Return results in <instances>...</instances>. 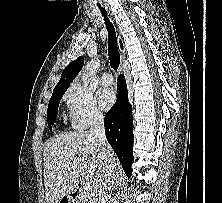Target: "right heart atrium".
I'll use <instances>...</instances> for the list:
<instances>
[{
  "label": "right heart atrium",
  "mask_w": 222,
  "mask_h": 203,
  "mask_svg": "<svg viewBox=\"0 0 222 203\" xmlns=\"http://www.w3.org/2000/svg\"><path fill=\"white\" fill-rule=\"evenodd\" d=\"M65 101L76 128L84 129L103 118L93 93L79 84L71 86L65 95Z\"/></svg>",
  "instance_id": "right-heart-atrium-1"
}]
</instances>
